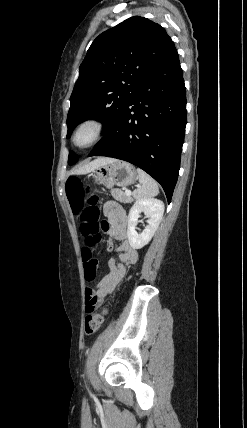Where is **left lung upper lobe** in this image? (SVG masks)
<instances>
[{
    "mask_svg": "<svg viewBox=\"0 0 247 428\" xmlns=\"http://www.w3.org/2000/svg\"><path fill=\"white\" fill-rule=\"evenodd\" d=\"M175 50L163 27L140 16L100 34L87 51L70 97L67 138L89 118L102 120L106 133L140 84ZM76 162L70 152L68 164Z\"/></svg>",
    "mask_w": 247,
    "mask_h": 428,
    "instance_id": "obj_1",
    "label": "left lung upper lobe"
}]
</instances>
